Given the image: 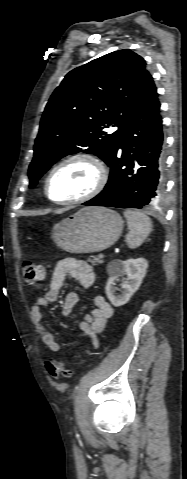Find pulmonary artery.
<instances>
[{"mask_svg":"<svg viewBox=\"0 0 187 479\" xmlns=\"http://www.w3.org/2000/svg\"><path fill=\"white\" fill-rule=\"evenodd\" d=\"M113 130H117V127H114Z\"/></svg>","mask_w":187,"mask_h":479,"instance_id":"obj_1","label":"pulmonary artery"}]
</instances>
